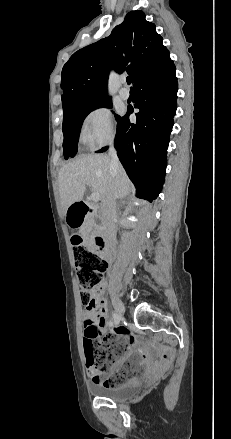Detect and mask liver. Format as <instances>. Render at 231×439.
Wrapping results in <instances>:
<instances>
[{"mask_svg":"<svg viewBox=\"0 0 231 439\" xmlns=\"http://www.w3.org/2000/svg\"><path fill=\"white\" fill-rule=\"evenodd\" d=\"M111 158L105 155H84L65 164L59 172V193L64 213L69 206L83 199L86 186L100 194L103 202L111 193L124 198L132 184L120 165L115 172L110 169Z\"/></svg>","mask_w":231,"mask_h":439,"instance_id":"1","label":"liver"}]
</instances>
